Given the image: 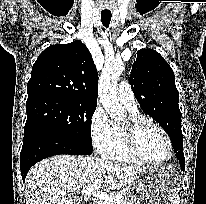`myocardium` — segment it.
<instances>
[{
  "instance_id": "myocardium-1",
  "label": "myocardium",
  "mask_w": 206,
  "mask_h": 204,
  "mask_svg": "<svg viewBox=\"0 0 206 204\" xmlns=\"http://www.w3.org/2000/svg\"><path fill=\"white\" fill-rule=\"evenodd\" d=\"M147 126H151L155 128L164 136L169 149V154L166 159L162 161L151 160L141 150L139 144V137L141 131ZM121 129L129 150L133 155H135L143 162L151 165H163L168 163L172 159L174 155V147L171 138L169 134L166 132V130L162 126L154 122L153 120L141 115H137V116L130 115L128 119L121 125Z\"/></svg>"
}]
</instances>
